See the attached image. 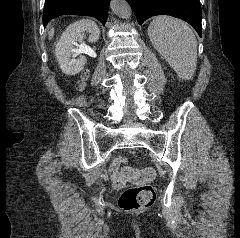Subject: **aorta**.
<instances>
[{"instance_id":"obj_1","label":"aorta","mask_w":240,"mask_h":238,"mask_svg":"<svg viewBox=\"0 0 240 238\" xmlns=\"http://www.w3.org/2000/svg\"><path fill=\"white\" fill-rule=\"evenodd\" d=\"M110 8L121 18L128 19L131 16V8L126 0H111Z\"/></svg>"}]
</instances>
